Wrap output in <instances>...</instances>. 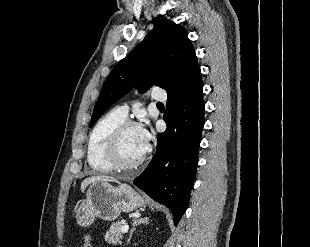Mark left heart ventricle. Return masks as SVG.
<instances>
[{"instance_id": "1", "label": "left heart ventricle", "mask_w": 310, "mask_h": 247, "mask_svg": "<svg viewBox=\"0 0 310 247\" xmlns=\"http://www.w3.org/2000/svg\"><path fill=\"white\" fill-rule=\"evenodd\" d=\"M147 146L145 145L141 128L132 127L125 131L120 143L121 160L130 164L142 157L145 153Z\"/></svg>"}]
</instances>
